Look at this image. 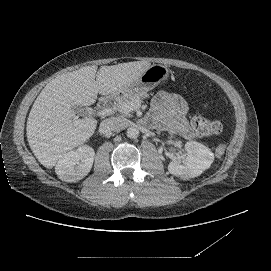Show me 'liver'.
Masks as SVG:
<instances>
[{"label":"liver","instance_id":"liver-1","mask_svg":"<svg viewBox=\"0 0 271 271\" xmlns=\"http://www.w3.org/2000/svg\"><path fill=\"white\" fill-rule=\"evenodd\" d=\"M148 61H134L112 66H86L58 75L42 89L28 116L26 135L38 161L52 168L68 151L85 143L94 133L97 120L79 119V106L96 102L98 93L121 92L149 67Z\"/></svg>","mask_w":271,"mask_h":271}]
</instances>
